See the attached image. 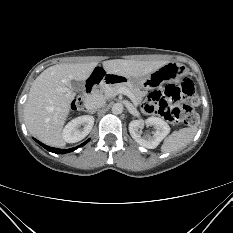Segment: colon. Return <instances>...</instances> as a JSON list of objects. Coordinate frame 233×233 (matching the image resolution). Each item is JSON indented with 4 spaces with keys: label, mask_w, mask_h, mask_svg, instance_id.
<instances>
[{
    "label": "colon",
    "mask_w": 233,
    "mask_h": 233,
    "mask_svg": "<svg viewBox=\"0 0 233 233\" xmlns=\"http://www.w3.org/2000/svg\"><path fill=\"white\" fill-rule=\"evenodd\" d=\"M197 102L195 87L186 79L182 86L169 84L163 90H154L144 103V110L150 114H158L171 123H183L187 126H195L199 117L194 110ZM84 107V95H78L73 103V110H81Z\"/></svg>",
    "instance_id": "obj_1"
}]
</instances>
